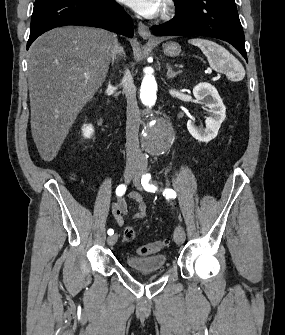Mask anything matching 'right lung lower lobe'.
<instances>
[{"label": "right lung lower lobe", "instance_id": "obj_1", "mask_svg": "<svg viewBox=\"0 0 285 335\" xmlns=\"http://www.w3.org/2000/svg\"><path fill=\"white\" fill-rule=\"evenodd\" d=\"M65 25L102 27L133 37L131 17L113 0H36L27 49L44 32Z\"/></svg>", "mask_w": 285, "mask_h": 335}]
</instances>
